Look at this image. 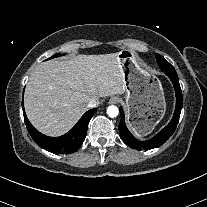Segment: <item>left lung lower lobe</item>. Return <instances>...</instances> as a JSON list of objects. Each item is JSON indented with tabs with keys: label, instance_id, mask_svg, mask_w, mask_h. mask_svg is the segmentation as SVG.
<instances>
[{
	"label": "left lung lower lobe",
	"instance_id": "1",
	"mask_svg": "<svg viewBox=\"0 0 207 207\" xmlns=\"http://www.w3.org/2000/svg\"><path fill=\"white\" fill-rule=\"evenodd\" d=\"M163 71L170 78L174 86L175 94H176V107H175L174 115L171 121L169 122V124L165 128H163L157 135H155L154 137H152L147 141L137 140L127 129L125 125L124 112L123 109L120 107L121 121L119 124V134L122 140L134 149L142 150V149H152V148L159 147L161 144H163L170 138V136L174 133L176 126L178 124L181 109L183 106L182 91L179 84V79L174 67L164 69Z\"/></svg>",
	"mask_w": 207,
	"mask_h": 207
}]
</instances>
